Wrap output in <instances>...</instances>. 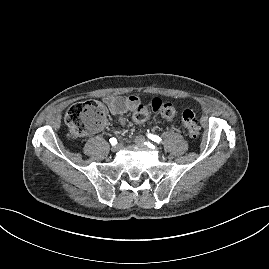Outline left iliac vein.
Instances as JSON below:
<instances>
[{"label": "left iliac vein", "mask_w": 269, "mask_h": 269, "mask_svg": "<svg viewBox=\"0 0 269 269\" xmlns=\"http://www.w3.org/2000/svg\"><path fill=\"white\" fill-rule=\"evenodd\" d=\"M146 141H147L146 138L144 136H141V135L136 136L135 139H134V142L138 146L144 144Z\"/></svg>", "instance_id": "obj_1"}]
</instances>
